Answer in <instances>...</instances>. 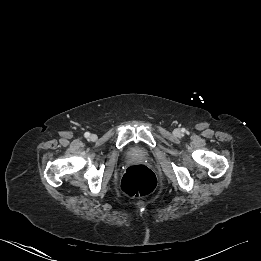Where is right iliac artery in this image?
<instances>
[{
    "mask_svg": "<svg viewBox=\"0 0 261 261\" xmlns=\"http://www.w3.org/2000/svg\"><path fill=\"white\" fill-rule=\"evenodd\" d=\"M84 136H85L86 138H88V137H90V133H89V132H86V133L84 134Z\"/></svg>",
    "mask_w": 261,
    "mask_h": 261,
    "instance_id": "1",
    "label": "right iliac artery"
}]
</instances>
